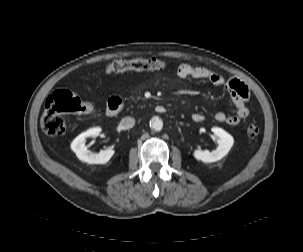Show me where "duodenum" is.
<instances>
[{
	"mask_svg": "<svg viewBox=\"0 0 303 252\" xmlns=\"http://www.w3.org/2000/svg\"><path fill=\"white\" fill-rule=\"evenodd\" d=\"M122 106H123V102H122V100L120 98L114 99L108 105L107 115L109 117L115 116L118 112L121 111ZM155 110L158 113H164V112H166V108L163 105H157L155 107Z\"/></svg>",
	"mask_w": 303,
	"mask_h": 252,
	"instance_id": "duodenum-1",
	"label": "duodenum"
}]
</instances>
